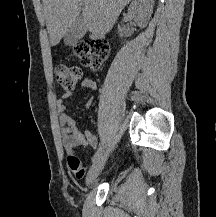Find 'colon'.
Listing matches in <instances>:
<instances>
[{
    "mask_svg": "<svg viewBox=\"0 0 216 217\" xmlns=\"http://www.w3.org/2000/svg\"><path fill=\"white\" fill-rule=\"evenodd\" d=\"M109 48L104 40L80 41L74 44L72 52L82 66L96 70L108 55ZM54 75L65 90H72L81 77V69L61 64L55 67ZM68 164L76 175L82 174L80 161L75 155L68 157Z\"/></svg>",
    "mask_w": 216,
    "mask_h": 217,
    "instance_id": "1",
    "label": "colon"
}]
</instances>
